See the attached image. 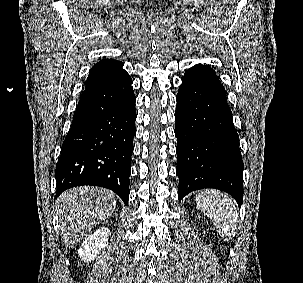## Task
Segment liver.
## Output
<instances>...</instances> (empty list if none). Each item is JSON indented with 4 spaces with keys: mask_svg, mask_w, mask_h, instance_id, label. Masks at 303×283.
I'll return each instance as SVG.
<instances>
[{
    "mask_svg": "<svg viewBox=\"0 0 303 283\" xmlns=\"http://www.w3.org/2000/svg\"><path fill=\"white\" fill-rule=\"evenodd\" d=\"M56 203L61 238L68 248L111 216L116 207L113 192L86 186L66 190Z\"/></svg>",
    "mask_w": 303,
    "mask_h": 283,
    "instance_id": "liver-1",
    "label": "liver"
}]
</instances>
